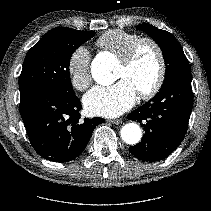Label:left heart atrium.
Segmentation results:
<instances>
[{
  "label": "left heart atrium",
  "mask_w": 211,
  "mask_h": 211,
  "mask_svg": "<svg viewBox=\"0 0 211 211\" xmlns=\"http://www.w3.org/2000/svg\"><path fill=\"white\" fill-rule=\"evenodd\" d=\"M137 92L130 82L119 80L109 86H95L83 98L88 114L116 117L130 109L136 102Z\"/></svg>",
  "instance_id": "39dd6f15"
}]
</instances>
